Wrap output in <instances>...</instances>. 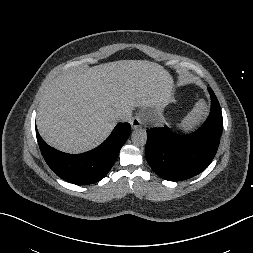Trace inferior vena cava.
<instances>
[{
    "label": "inferior vena cava",
    "mask_w": 253,
    "mask_h": 253,
    "mask_svg": "<svg viewBox=\"0 0 253 253\" xmlns=\"http://www.w3.org/2000/svg\"><path fill=\"white\" fill-rule=\"evenodd\" d=\"M118 121L121 122H129L132 119V113L130 110L124 111L122 113L117 114Z\"/></svg>",
    "instance_id": "1"
}]
</instances>
